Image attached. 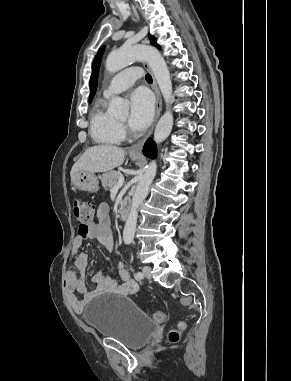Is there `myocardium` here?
I'll return each instance as SVG.
<instances>
[{
    "mask_svg": "<svg viewBox=\"0 0 291 381\" xmlns=\"http://www.w3.org/2000/svg\"><path fill=\"white\" fill-rule=\"evenodd\" d=\"M118 123H119L121 129H124V130L126 129L125 122L118 121Z\"/></svg>",
    "mask_w": 291,
    "mask_h": 381,
    "instance_id": "obj_1",
    "label": "myocardium"
}]
</instances>
